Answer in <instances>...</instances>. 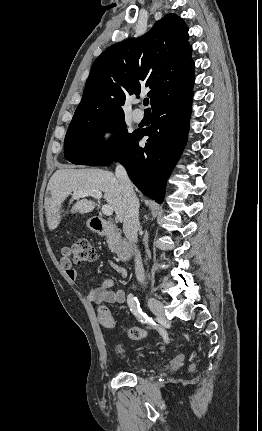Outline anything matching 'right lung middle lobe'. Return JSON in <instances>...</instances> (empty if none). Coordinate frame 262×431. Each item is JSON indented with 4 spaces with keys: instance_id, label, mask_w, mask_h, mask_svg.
I'll return each mask as SVG.
<instances>
[{
    "instance_id": "right-lung-middle-lobe-1",
    "label": "right lung middle lobe",
    "mask_w": 262,
    "mask_h": 431,
    "mask_svg": "<svg viewBox=\"0 0 262 431\" xmlns=\"http://www.w3.org/2000/svg\"><path fill=\"white\" fill-rule=\"evenodd\" d=\"M108 131L114 135L104 141L103 134ZM135 134L128 132L124 116L71 121L64 155L73 164L106 166L122 154Z\"/></svg>"
}]
</instances>
